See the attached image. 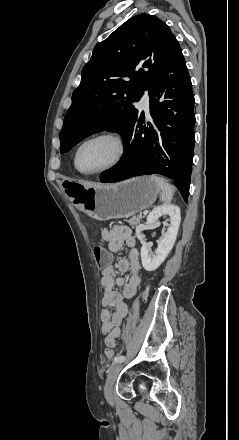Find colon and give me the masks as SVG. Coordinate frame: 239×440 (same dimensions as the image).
<instances>
[{
  "label": "colon",
  "instance_id": "1",
  "mask_svg": "<svg viewBox=\"0 0 239 440\" xmlns=\"http://www.w3.org/2000/svg\"><path fill=\"white\" fill-rule=\"evenodd\" d=\"M94 255L97 264L100 267H106L110 264L111 256L106 249L101 246H97L94 248ZM149 287H147L143 293V297L146 298L148 295ZM116 352L113 348H109L106 350L105 355L108 359H112L115 356Z\"/></svg>",
  "mask_w": 239,
  "mask_h": 440
}]
</instances>
